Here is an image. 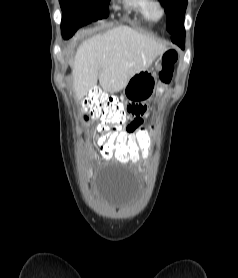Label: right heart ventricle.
Returning a JSON list of instances; mask_svg holds the SVG:
<instances>
[{"mask_svg": "<svg viewBox=\"0 0 238 278\" xmlns=\"http://www.w3.org/2000/svg\"><path fill=\"white\" fill-rule=\"evenodd\" d=\"M127 6L142 20L150 21L148 0H126Z\"/></svg>", "mask_w": 238, "mask_h": 278, "instance_id": "obj_1", "label": "right heart ventricle"}]
</instances>
